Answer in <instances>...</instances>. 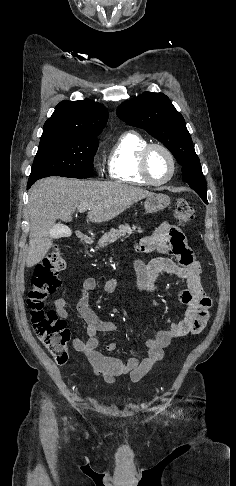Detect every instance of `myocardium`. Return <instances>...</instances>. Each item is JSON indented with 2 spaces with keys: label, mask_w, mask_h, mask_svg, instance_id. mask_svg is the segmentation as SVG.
Returning a JSON list of instances; mask_svg holds the SVG:
<instances>
[{
  "label": "myocardium",
  "mask_w": 236,
  "mask_h": 486,
  "mask_svg": "<svg viewBox=\"0 0 236 486\" xmlns=\"http://www.w3.org/2000/svg\"><path fill=\"white\" fill-rule=\"evenodd\" d=\"M153 149H159V150L163 151L167 155V157L169 158V161H170V164H171V171H170L169 175L164 180H161V181L154 180L148 172V166H147L148 156ZM176 168H177V164H176V159H175L173 153L166 146H164L162 144L148 143L140 152V155H139V172H140L141 177L144 179V181L149 185L161 186V185L167 184L174 177V175L176 173Z\"/></svg>",
  "instance_id": "f54148a6"
}]
</instances>
